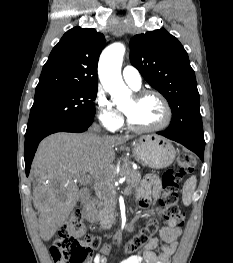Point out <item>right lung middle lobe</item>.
<instances>
[{"instance_id":"right-lung-middle-lobe-1","label":"right lung middle lobe","mask_w":233,"mask_h":263,"mask_svg":"<svg viewBox=\"0 0 233 263\" xmlns=\"http://www.w3.org/2000/svg\"><path fill=\"white\" fill-rule=\"evenodd\" d=\"M97 86H78L35 95L25 135L46 126L93 118Z\"/></svg>"}]
</instances>
